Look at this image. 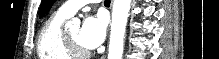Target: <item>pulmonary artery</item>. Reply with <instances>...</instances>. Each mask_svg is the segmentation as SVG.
Instances as JSON below:
<instances>
[{"label": "pulmonary artery", "instance_id": "1", "mask_svg": "<svg viewBox=\"0 0 219 59\" xmlns=\"http://www.w3.org/2000/svg\"><path fill=\"white\" fill-rule=\"evenodd\" d=\"M92 2L91 0H74V1H67L62 4L59 8V12L68 17L72 16L79 8Z\"/></svg>", "mask_w": 219, "mask_h": 59}]
</instances>
